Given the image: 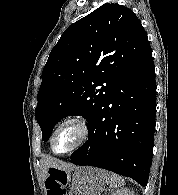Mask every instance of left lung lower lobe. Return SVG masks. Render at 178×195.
Segmentation results:
<instances>
[{"label":"left lung lower lobe","instance_id":"0a47b994","mask_svg":"<svg viewBox=\"0 0 178 195\" xmlns=\"http://www.w3.org/2000/svg\"><path fill=\"white\" fill-rule=\"evenodd\" d=\"M156 82L152 52L123 74L88 126V141L70 157L147 185L152 164Z\"/></svg>","mask_w":178,"mask_h":195}]
</instances>
